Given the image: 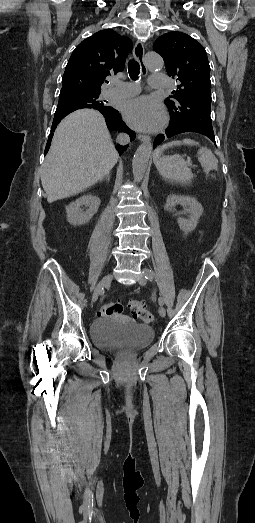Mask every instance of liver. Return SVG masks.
<instances>
[{
	"instance_id": "1",
	"label": "liver",
	"mask_w": 255,
	"mask_h": 523,
	"mask_svg": "<svg viewBox=\"0 0 255 523\" xmlns=\"http://www.w3.org/2000/svg\"><path fill=\"white\" fill-rule=\"evenodd\" d=\"M105 118L97 110H77L54 132L40 178L47 202L79 194L110 174L118 162Z\"/></svg>"
}]
</instances>
